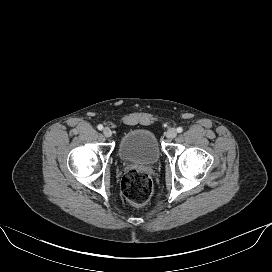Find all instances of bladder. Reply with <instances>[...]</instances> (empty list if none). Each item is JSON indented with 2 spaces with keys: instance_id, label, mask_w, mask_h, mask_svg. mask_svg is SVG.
<instances>
[{
  "instance_id": "bladder-1",
  "label": "bladder",
  "mask_w": 272,
  "mask_h": 272,
  "mask_svg": "<svg viewBox=\"0 0 272 272\" xmlns=\"http://www.w3.org/2000/svg\"><path fill=\"white\" fill-rule=\"evenodd\" d=\"M118 155L125 162L151 165L159 161L161 147L154 132L148 129H135L121 138Z\"/></svg>"
}]
</instances>
